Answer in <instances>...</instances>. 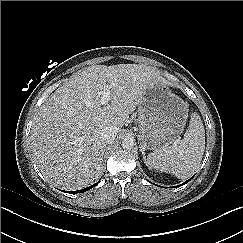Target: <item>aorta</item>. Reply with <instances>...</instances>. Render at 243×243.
Returning <instances> with one entry per match:
<instances>
[{
    "label": "aorta",
    "mask_w": 243,
    "mask_h": 243,
    "mask_svg": "<svg viewBox=\"0 0 243 243\" xmlns=\"http://www.w3.org/2000/svg\"><path fill=\"white\" fill-rule=\"evenodd\" d=\"M121 145L123 149L131 150L134 146V140L131 137H125Z\"/></svg>",
    "instance_id": "762f6f07"
}]
</instances>
